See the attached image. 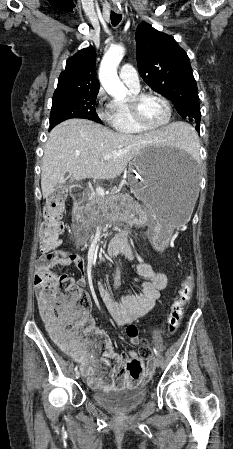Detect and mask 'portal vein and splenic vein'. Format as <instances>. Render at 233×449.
Here are the masks:
<instances>
[{"label": "portal vein and splenic vein", "instance_id": "1", "mask_svg": "<svg viewBox=\"0 0 233 449\" xmlns=\"http://www.w3.org/2000/svg\"><path fill=\"white\" fill-rule=\"evenodd\" d=\"M113 156H114V154H106L103 156V159L108 160V159H111ZM96 193L101 197L105 196L104 189L100 186L96 187Z\"/></svg>", "mask_w": 233, "mask_h": 449}]
</instances>
